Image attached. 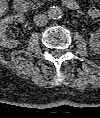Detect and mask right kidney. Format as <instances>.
Returning <instances> with one entry per match:
<instances>
[{"label":"right kidney","mask_w":100,"mask_h":118,"mask_svg":"<svg viewBox=\"0 0 100 118\" xmlns=\"http://www.w3.org/2000/svg\"><path fill=\"white\" fill-rule=\"evenodd\" d=\"M25 18L20 15H10L6 16L0 20V45L6 48H15L19 41L16 39H10L7 37V29L9 24L13 22L23 23Z\"/></svg>","instance_id":"right-kidney-1"}]
</instances>
